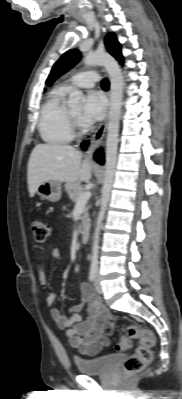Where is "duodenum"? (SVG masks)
<instances>
[{"label":"duodenum","mask_w":182,"mask_h":399,"mask_svg":"<svg viewBox=\"0 0 182 399\" xmlns=\"http://www.w3.org/2000/svg\"><path fill=\"white\" fill-rule=\"evenodd\" d=\"M81 239L86 242L89 239V230L87 228L83 229L81 233Z\"/></svg>","instance_id":"410a0bca"}]
</instances>
